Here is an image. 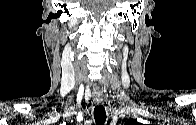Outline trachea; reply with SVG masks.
Segmentation results:
<instances>
[{
	"mask_svg": "<svg viewBox=\"0 0 196 125\" xmlns=\"http://www.w3.org/2000/svg\"><path fill=\"white\" fill-rule=\"evenodd\" d=\"M106 111L102 105H97L94 108V119L97 125H103L106 121Z\"/></svg>",
	"mask_w": 196,
	"mask_h": 125,
	"instance_id": "trachea-1",
	"label": "trachea"
}]
</instances>
